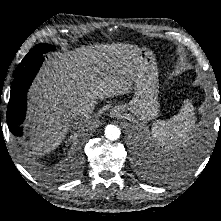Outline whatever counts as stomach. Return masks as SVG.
Masks as SVG:
<instances>
[{
    "instance_id": "stomach-1",
    "label": "stomach",
    "mask_w": 221,
    "mask_h": 221,
    "mask_svg": "<svg viewBox=\"0 0 221 221\" xmlns=\"http://www.w3.org/2000/svg\"><path fill=\"white\" fill-rule=\"evenodd\" d=\"M156 59L149 49H142L133 81L134 95L123 105L142 121L154 119L159 113V83Z\"/></svg>"
}]
</instances>
